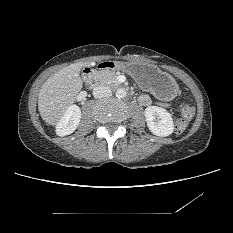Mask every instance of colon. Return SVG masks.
Listing matches in <instances>:
<instances>
[{
    "label": "colon",
    "instance_id": "colon-1",
    "mask_svg": "<svg viewBox=\"0 0 233 233\" xmlns=\"http://www.w3.org/2000/svg\"><path fill=\"white\" fill-rule=\"evenodd\" d=\"M180 115L175 121V131L180 134L187 128L188 122L192 119L195 114V108L190 103L182 102L179 105Z\"/></svg>",
    "mask_w": 233,
    "mask_h": 233
}]
</instances>
